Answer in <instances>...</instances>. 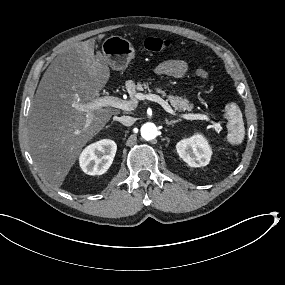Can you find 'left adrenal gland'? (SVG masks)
<instances>
[{"label":"left adrenal gland","mask_w":285,"mask_h":285,"mask_svg":"<svg viewBox=\"0 0 285 285\" xmlns=\"http://www.w3.org/2000/svg\"><path fill=\"white\" fill-rule=\"evenodd\" d=\"M166 124L168 126H174L176 125L177 123L181 122V119L177 120V121H169L168 119L165 120Z\"/></svg>","instance_id":"left-adrenal-gland-1"}]
</instances>
